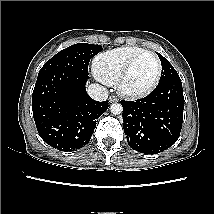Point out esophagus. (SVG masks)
<instances>
[{"instance_id":"obj_1","label":"esophagus","mask_w":214,"mask_h":214,"mask_svg":"<svg viewBox=\"0 0 214 214\" xmlns=\"http://www.w3.org/2000/svg\"><path fill=\"white\" fill-rule=\"evenodd\" d=\"M118 98L117 97H115V96H111L110 98H109V101L112 103V102H118Z\"/></svg>"}]
</instances>
